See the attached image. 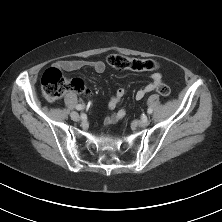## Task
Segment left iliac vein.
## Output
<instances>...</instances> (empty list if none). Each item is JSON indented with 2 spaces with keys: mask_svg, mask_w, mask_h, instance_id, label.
I'll return each mask as SVG.
<instances>
[{
  "mask_svg": "<svg viewBox=\"0 0 222 222\" xmlns=\"http://www.w3.org/2000/svg\"><path fill=\"white\" fill-rule=\"evenodd\" d=\"M149 123H150V120H149L147 117H145V118H143L142 120H140V121L138 122V125H139L140 127H146V126L149 125Z\"/></svg>",
  "mask_w": 222,
  "mask_h": 222,
  "instance_id": "left-iliac-vein-1",
  "label": "left iliac vein"
}]
</instances>
